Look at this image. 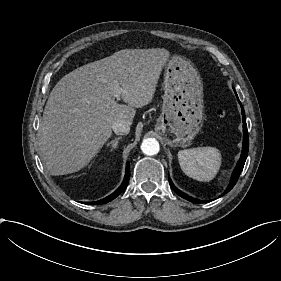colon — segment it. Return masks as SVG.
<instances>
[{
	"mask_svg": "<svg viewBox=\"0 0 281 281\" xmlns=\"http://www.w3.org/2000/svg\"><path fill=\"white\" fill-rule=\"evenodd\" d=\"M215 117L216 119L220 120V121H224L226 119H228L229 117V111L225 106H221L220 108H218L215 111Z\"/></svg>",
	"mask_w": 281,
	"mask_h": 281,
	"instance_id": "obj_1",
	"label": "colon"
}]
</instances>
